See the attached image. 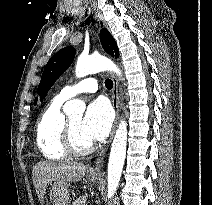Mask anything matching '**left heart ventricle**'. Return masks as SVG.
Masks as SVG:
<instances>
[{"label": "left heart ventricle", "mask_w": 212, "mask_h": 205, "mask_svg": "<svg viewBox=\"0 0 212 205\" xmlns=\"http://www.w3.org/2000/svg\"><path fill=\"white\" fill-rule=\"evenodd\" d=\"M69 121H70L72 132L77 144L80 146H85L91 143V141H89L85 137V135L82 133V129H81L82 116H76V117L70 118Z\"/></svg>", "instance_id": "obj_1"}]
</instances>
